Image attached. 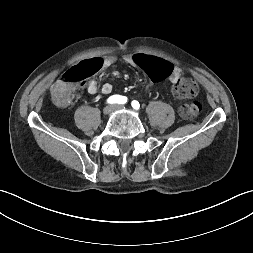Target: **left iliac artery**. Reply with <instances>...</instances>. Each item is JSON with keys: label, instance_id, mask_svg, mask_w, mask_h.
<instances>
[{"label": "left iliac artery", "instance_id": "1", "mask_svg": "<svg viewBox=\"0 0 253 253\" xmlns=\"http://www.w3.org/2000/svg\"><path fill=\"white\" fill-rule=\"evenodd\" d=\"M131 105H132V107H133L134 109H136V110H138V109L140 108V104H139V102L136 101V100L132 101Z\"/></svg>", "mask_w": 253, "mask_h": 253}]
</instances>
